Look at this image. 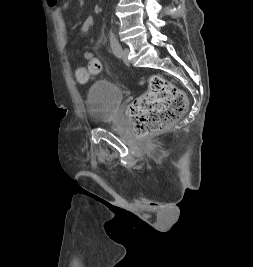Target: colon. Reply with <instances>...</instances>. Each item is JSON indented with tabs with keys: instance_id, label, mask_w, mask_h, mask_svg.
I'll return each mask as SVG.
<instances>
[{
	"instance_id": "obj_1",
	"label": "colon",
	"mask_w": 253,
	"mask_h": 267,
	"mask_svg": "<svg viewBox=\"0 0 253 267\" xmlns=\"http://www.w3.org/2000/svg\"><path fill=\"white\" fill-rule=\"evenodd\" d=\"M87 70L77 67L76 78L85 82L89 74H99L102 63L91 52L85 53ZM148 90L139 96L129 107L132 131L138 137L157 133L183 115L187 109L185 93L161 76L148 79Z\"/></svg>"
}]
</instances>
